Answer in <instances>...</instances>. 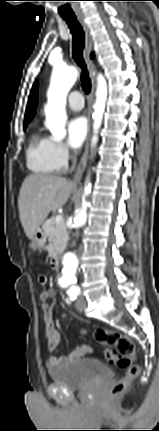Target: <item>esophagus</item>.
<instances>
[{"instance_id": "1", "label": "esophagus", "mask_w": 159, "mask_h": 431, "mask_svg": "<svg viewBox=\"0 0 159 431\" xmlns=\"http://www.w3.org/2000/svg\"><path fill=\"white\" fill-rule=\"evenodd\" d=\"M78 20H79V22L83 28V31L85 33V47H84L83 54H84V59H85L87 66H88L92 88H91V93H90V97H89V107H88V138H87V142H86V146H85V151L81 157L79 165H78V167L75 171V174L73 176L74 181H77L80 179V177L82 176V174L86 168V164H87V160H88L89 138H90V134H91V123H92V118H91L92 103H93V99H94V95H95V89H96V81H95L96 68H95V64H94L93 59H91V57H90L91 50H92V37L90 34L89 27L86 24L84 18L78 17Z\"/></svg>"}]
</instances>
